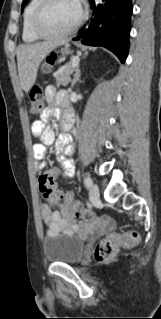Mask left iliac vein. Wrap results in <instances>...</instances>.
I'll return each instance as SVG.
<instances>
[{
	"mask_svg": "<svg viewBox=\"0 0 161 319\" xmlns=\"http://www.w3.org/2000/svg\"><path fill=\"white\" fill-rule=\"evenodd\" d=\"M89 195H90V198L91 200H97L99 198V188L96 184H93L91 187H90V191H89Z\"/></svg>",
	"mask_w": 161,
	"mask_h": 319,
	"instance_id": "left-iliac-vein-1",
	"label": "left iliac vein"
}]
</instances>
